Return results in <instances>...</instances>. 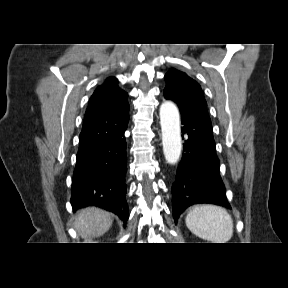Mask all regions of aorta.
<instances>
[{"label":"aorta","instance_id":"762f6f07","mask_svg":"<svg viewBox=\"0 0 288 288\" xmlns=\"http://www.w3.org/2000/svg\"><path fill=\"white\" fill-rule=\"evenodd\" d=\"M160 124L165 159L175 164L179 160L182 143L179 111L173 102L165 101L160 106Z\"/></svg>","mask_w":288,"mask_h":288}]
</instances>
